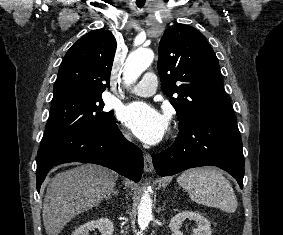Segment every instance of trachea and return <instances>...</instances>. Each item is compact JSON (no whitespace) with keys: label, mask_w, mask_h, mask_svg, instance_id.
I'll return each instance as SVG.
<instances>
[{"label":"trachea","mask_w":283,"mask_h":235,"mask_svg":"<svg viewBox=\"0 0 283 235\" xmlns=\"http://www.w3.org/2000/svg\"><path fill=\"white\" fill-rule=\"evenodd\" d=\"M137 6H138V7H143L144 4H142V3H137Z\"/></svg>","instance_id":"1"}]
</instances>
